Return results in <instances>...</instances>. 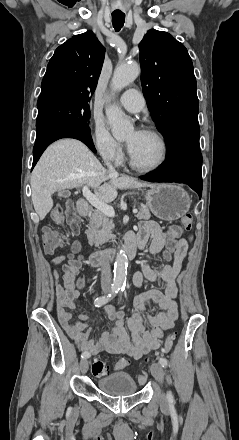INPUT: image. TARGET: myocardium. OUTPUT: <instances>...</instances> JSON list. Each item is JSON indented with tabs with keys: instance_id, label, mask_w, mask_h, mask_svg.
<instances>
[{
	"instance_id": "obj_1",
	"label": "myocardium",
	"mask_w": 239,
	"mask_h": 440,
	"mask_svg": "<svg viewBox=\"0 0 239 440\" xmlns=\"http://www.w3.org/2000/svg\"><path fill=\"white\" fill-rule=\"evenodd\" d=\"M142 132H145V133H148V134L154 136L159 141V144L161 146V156L155 165H153L151 167H144V166H141L140 164L137 163V161L135 160L131 151H129V154H128L129 164L137 172L146 173V174L153 173V172L158 171L160 168H162L163 165L167 161L168 154H169L168 142H167L165 136L155 128L148 127V128L143 129Z\"/></svg>"
}]
</instances>
